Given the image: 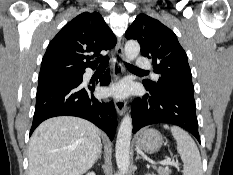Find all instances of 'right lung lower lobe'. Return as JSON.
Listing matches in <instances>:
<instances>
[{
    "label": "right lung lower lobe",
    "instance_id": "1",
    "mask_svg": "<svg viewBox=\"0 0 233 175\" xmlns=\"http://www.w3.org/2000/svg\"><path fill=\"white\" fill-rule=\"evenodd\" d=\"M82 76L83 73L77 81L53 84L37 90L30 135L42 121L69 115L91 121L105 131L111 140L114 138L117 127L114 103L96 99L92 94L94 85L83 87ZM99 82L104 86L110 83L108 70Z\"/></svg>",
    "mask_w": 233,
    "mask_h": 175
}]
</instances>
